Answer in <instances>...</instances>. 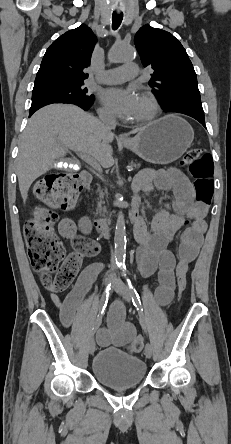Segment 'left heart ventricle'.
Returning a JSON list of instances; mask_svg holds the SVG:
<instances>
[{
    "mask_svg": "<svg viewBox=\"0 0 231 444\" xmlns=\"http://www.w3.org/2000/svg\"><path fill=\"white\" fill-rule=\"evenodd\" d=\"M150 111V106L149 104L142 98L139 96L138 99V104L135 110L134 115L132 116V118H137L140 117L142 115L147 114Z\"/></svg>",
    "mask_w": 231,
    "mask_h": 444,
    "instance_id": "1",
    "label": "left heart ventricle"
}]
</instances>
